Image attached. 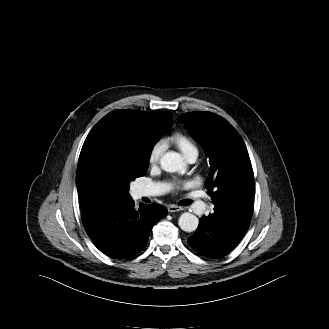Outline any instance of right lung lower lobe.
<instances>
[{
  "label": "right lung lower lobe",
  "instance_id": "obj_1",
  "mask_svg": "<svg viewBox=\"0 0 329 329\" xmlns=\"http://www.w3.org/2000/svg\"><path fill=\"white\" fill-rule=\"evenodd\" d=\"M159 204L134 209L133 199L106 200L83 209L82 222L92 242L110 258L141 251L154 224L167 215Z\"/></svg>",
  "mask_w": 329,
  "mask_h": 329
}]
</instances>
